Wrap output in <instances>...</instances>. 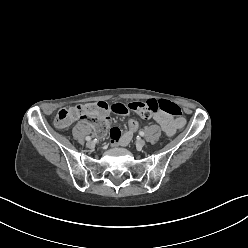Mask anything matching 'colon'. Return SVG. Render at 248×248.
I'll return each instance as SVG.
<instances>
[{
	"mask_svg": "<svg viewBox=\"0 0 248 248\" xmlns=\"http://www.w3.org/2000/svg\"><path fill=\"white\" fill-rule=\"evenodd\" d=\"M112 113L127 117L128 131L137 133L140 125L131 117L130 111L139 114L145 119L153 117L157 113H167L174 117H181V108L168 100H147V101H132L128 104H115L111 107ZM108 105L104 101H99L96 104H81L75 108L60 110L55 117V125L60 128L68 127L72 121L80 118L87 122L94 123L93 134L96 137H105L109 133L107 126L108 120L106 112ZM111 139V135H110Z\"/></svg>",
	"mask_w": 248,
	"mask_h": 248,
	"instance_id": "1",
	"label": "colon"
}]
</instances>
